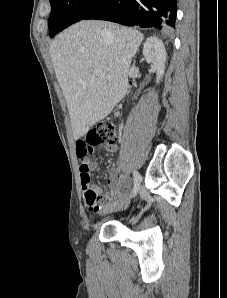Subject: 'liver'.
<instances>
[{
	"label": "liver",
	"mask_w": 227,
	"mask_h": 298,
	"mask_svg": "<svg viewBox=\"0 0 227 298\" xmlns=\"http://www.w3.org/2000/svg\"><path fill=\"white\" fill-rule=\"evenodd\" d=\"M143 39L144 35L135 29L82 20L50 44L49 53L67 102L75 140L108 116L125 96L131 61ZM95 69L102 74L94 76Z\"/></svg>",
	"instance_id": "obj_1"
}]
</instances>
